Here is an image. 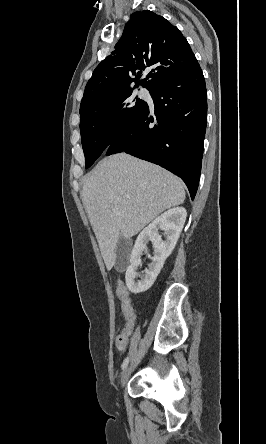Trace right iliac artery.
<instances>
[{"mask_svg":"<svg viewBox=\"0 0 266 444\" xmlns=\"http://www.w3.org/2000/svg\"><path fill=\"white\" fill-rule=\"evenodd\" d=\"M128 363H129V358L127 357V358H125L124 361H123L122 369H125V368L127 367Z\"/></svg>","mask_w":266,"mask_h":444,"instance_id":"1","label":"right iliac artery"}]
</instances>
